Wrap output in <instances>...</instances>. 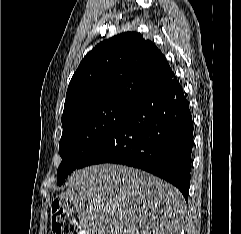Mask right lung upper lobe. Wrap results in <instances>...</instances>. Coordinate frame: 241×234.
<instances>
[{
	"mask_svg": "<svg viewBox=\"0 0 241 234\" xmlns=\"http://www.w3.org/2000/svg\"><path fill=\"white\" fill-rule=\"evenodd\" d=\"M171 73L153 42L137 32L118 34L99 43L81 61L69 83L62 118L104 102L134 104Z\"/></svg>",
	"mask_w": 241,
	"mask_h": 234,
	"instance_id": "obj_1",
	"label": "right lung upper lobe"
}]
</instances>
